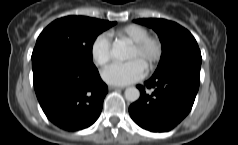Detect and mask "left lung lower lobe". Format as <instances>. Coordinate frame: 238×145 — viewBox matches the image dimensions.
I'll list each match as a JSON object with an SVG mask.
<instances>
[{
	"instance_id": "1",
	"label": "left lung lower lobe",
	"mask_w": 238,
	"mask_h": 145,
	"mask_svg": "<svg viewBox=\"0 0 238 145\" xmlns=\"http://www.w3.org/2000/svg\"><path fill=\"white\" fill-rule=\"evenodd\" d=\"M200 67L197 63L182 65L153 74L144 85H137L140 98L129 107L134 122L152 132L176 127L192 109L200 84Z\"/></svg>"
}]
</instances>
